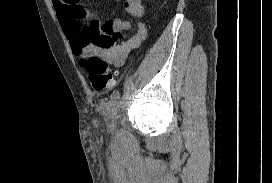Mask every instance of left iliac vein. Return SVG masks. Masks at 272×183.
Wrapping results in <instances>:
<instances>
[{"label": "left iliac vein", "mask_w": 272, "mask_h": 183, "mask_svg": "<svg viewBox=\"0 0 272 183\" xmlns=\"http://www.w3.org/2000/svg\"><path fill=\"white\" fill-rule=\"evenodd\" d=\"M116 102L111 100L105 104V120L108 122L110 129H115L116 127Z\"/></svg>", "instance_id": "4c4485c4"}]
</instances>
